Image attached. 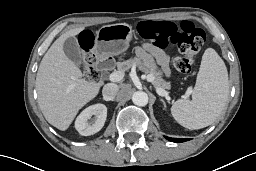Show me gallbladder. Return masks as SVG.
<instances>
[{
	"label": "gallbladder",
	"instance_id": "gallbladder-1",
	"mask_svg": "<svg viewBox=\"0 0 256 171\" xmlns=\"http://www.w3.org/2000/svg\"><path fill=\"white\" fill-rule=\"evenodd\" d=\"M65 55L76 65L82 64V52L75 37H69L63 43Z\"/></svg>",
	"mask_w": 256,
	"mask_h": 171
}]
</instances>
